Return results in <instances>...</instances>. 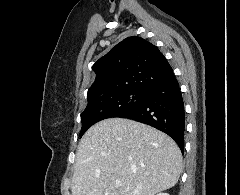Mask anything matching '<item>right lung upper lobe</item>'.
Here are the masks:
<instances>
[{"label": "right lung upper lobe", "instance_id": "obj_1", "mask_svg": "<svg viewBox=\"0 0 240 195\" xmlns=\"http://www.w3.org/2000/svg\"><path fill=\"white\" fill-rule=\"evenodd\" d=\"M96 79L88 91L95 99L122 90L147 92L174 75L159 49L143 38L128 37L93 66Z\"/></svg>", "mask_w": 240, "mask_h": 195}]
</instances>
